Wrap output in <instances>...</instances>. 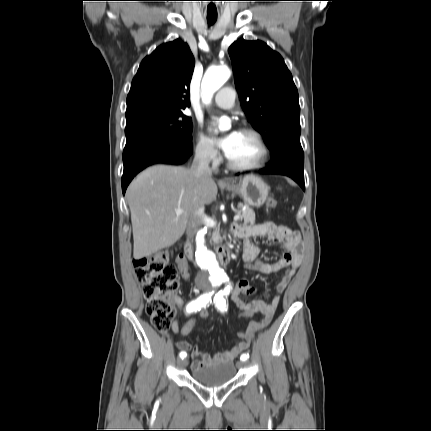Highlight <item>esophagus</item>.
I'll use <instances>...</instances> for the list:
<instances>
[{
    "label": "esophagus",
    "instance_id": "34e87169",
    "mask_svg": "<svg viewBox=\"0 0 431 431\" xmlns=\"http://www.w3.org/2000/svg\"><path fill=\"white\" fill-rule=\"evenodd\" d=\"M219 182H220V183H225L226 181H225V180H220Z\"/></svg>",
    "mask_w": 431,
    "mask_h": 431
}]
</instances>
